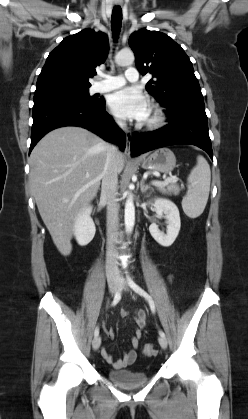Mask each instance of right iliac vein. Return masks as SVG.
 Returning <instances> with one entry per match:
<instances>
[{
    "label": "right iliac vein",
    "mask_w": 248,
    "mask_h": 419,
    "mask_svg": "<svg viewBox=\"0 0 248 419\" xmlns=\"http://www.w3.org/2000/svg\"><path fill=\"white\" fill-rule=\"evenodd\" d=\"M118 287V281L116 278H108V288L111 294H115ZM101 338L96 336L92 341V347L94 350H97L100 347Z\"/></svg>",
    "instance_id": "63e3f726"
}]
</instances>
